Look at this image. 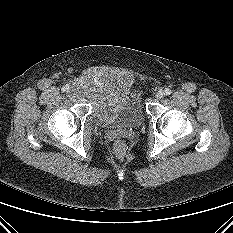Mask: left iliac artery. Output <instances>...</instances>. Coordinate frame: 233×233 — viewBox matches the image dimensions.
Listing matches in <instances>:
<instances>
[{"label": "left iliac artery", "mask_w": 233, "mask_h": 233, "mask_svg": "<svg viewBox=\"0 0 233 233\" xmlns=\"http://www.w3.org/2000/svg\"><path fill=\"white\" fill-rule=\"evenodd\" d=\"M164 94L170 95V94H171V90H170L169 88H166V89L164 90Z\"/></svg>", "instance_id": "1"}]
</instances>
